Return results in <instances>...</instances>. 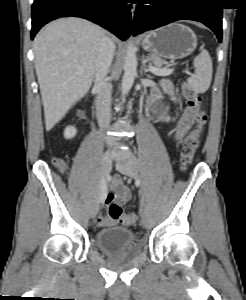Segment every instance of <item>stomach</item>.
<instances>
[{
  "instance_id": "obj_1",
  "label": "stomach",
  "mask_w": 246,
  "mask_h": 300,
  "mask_svg": "<svg viewBox=\"0 0 246 300\" xmlns=\"http://www.w3.org/2000/svg\"><path fill=\"white\" fill-rule=\"evenodd\" d=\"M141 45L159 59L176 60L190 55L197 46V36L186 25L171 23L145 34Z\"/></svg>"
}]
</instances>
